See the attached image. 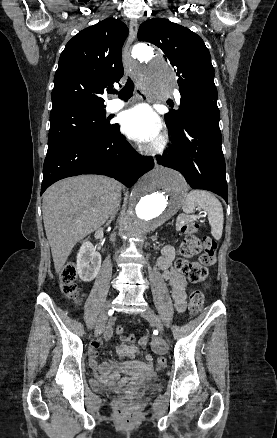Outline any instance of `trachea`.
<instances>
[{"instance_id": "3493384b", "label": "trachea", "mask_w": 277, "mask_h": 438, "mask_svg": "<svg viewBox=\"0 0 277 438\" xmlns=\"http://www.w3.org/2000/svg\"><path fill=\"white\" fill-rule=\"evenodd\" d=\"M133 91L134 83L130 78H128L126 85L119 92H117L116 90H110L108 93L118 94L119 98L127 100L132 96Z\"/></svg>"}]
</instances>
